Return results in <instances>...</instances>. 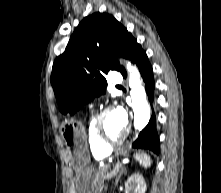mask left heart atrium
I'll return each mask as SVG.
<instances>
[{"mask_svg":"<svg viewBox=\"0 0 221 193\" xmlns=\"http://www.w3.org/2000/svg\"><path fill=\"white\" fill-rule=\"evenodd\" d=\"M113 111H114L115 115L117 116V118L119 119V121L122 124L126 125L128 117H127V113H126L125 109L121 106H117Z\"/></svg>","mask_w":221,"mask_h":193,"instance_id":"1","label":"left heart atrium"}]
</instances>
